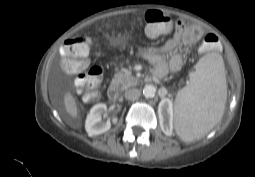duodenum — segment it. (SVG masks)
Listing matches in <instances>:
<instances>
[{
    "instance_id": "410a0bca",
    "label": "duodenum",
    "mask_w": 255,
    "mask_h": 177,
    "mask_svg": "<svg viewBox=\"0 0 255 177\" xmlns=\"http://www.w3.org/2000/svg\"><path fill=\"white\" fill-rule=\"evenodd\" d=\"M157 78H160V77H158L157 74H154V75L150 78V80H155V79H157ZM107 94H108V97L110 98V100H112V101H117V99H118V90H117V88H116L115 85H110V86H109V88H108V90H107Z\"/></svg>"
}]
</instances>
